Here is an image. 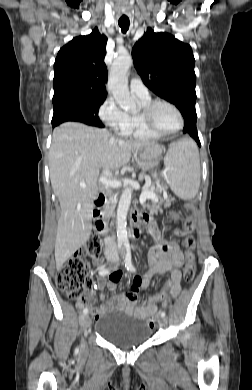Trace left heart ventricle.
Returning <instances> with one entry per match:
<instances>
[{
    "instance_id": "1",
    "label": "left heart ventricle",
    "mask_w": 252,
    "mask_h": 390,
    "mask_svg": "<svg viewBox=\"0 0 252 390\" xmlns=\"http://www.w3.org/2000/svg\"><path fill=\"white\" fill-rule=\"evenodd\" d=\"M153 118L156 127L163 131L174 130L179 124V119L175 111L164 104L156 108Z\"/></svg>"
}]
</instances>
